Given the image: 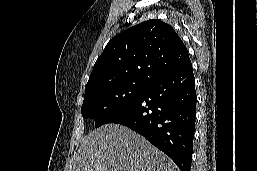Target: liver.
Masks as SVG:
<instances>
[{"label":"liver","instance_id":"6515ba94","mask_svg":"<svg viewBox=\"0 0 257 171\" xmlns=\"http://www.w3.org/2000/svg\"><path fill=\"white\" fill-rule=\"evenodd\" d=\"M71 171H178L164 153L119 124H106L82 139Z\"/></svg>","mask_w":257,"mask_h":171}]
</instances>
